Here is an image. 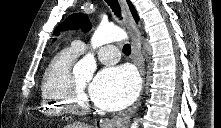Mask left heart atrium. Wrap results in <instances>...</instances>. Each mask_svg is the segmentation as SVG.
I'll use <instances>...</instances> for the list:
<instances>
[{
  "label": "left heart atrium",
  "mask_w": 221,
  "mask_h": 128,
  "mask_svg": "<svg viewBox=\"0 0 221 128\" xmlns=\"http://www.w3.org/2000/svg\"><path fill=\"white\" fill-rule=\"evenodd\" d=\"M139 78L125 66L102 69L89 88L91 101L106 111H115L130 105L139 91Z\"/></svg>",
  "instance_id": "obj_1"
}]
</instances>
